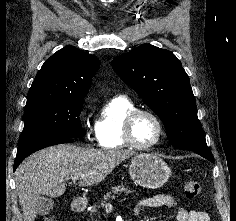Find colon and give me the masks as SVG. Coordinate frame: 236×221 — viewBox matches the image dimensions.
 I'll return each instance as SVG.
<instances>
[{
  "label": "colon",
  "instance_id": "obj_1",
  "mask_svg": "<svg viewBox=\"0 0 236 221\" xmlns=\"http://www.w3.org/2000/svg\"><path fill=\"white\" fill-rule=\"evenodd\" d=\"M201 192V187L199 182L196 180H187L184 185V193L186 198L193 199L197 197ZM40 221H57L53 217H45L41 219Z\"/></svg>",
  "mask_w": 236,
  "mask_h": 221
}]
</instances>
